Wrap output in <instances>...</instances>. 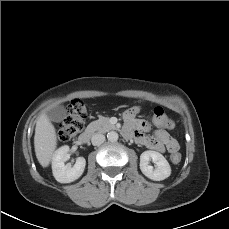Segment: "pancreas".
<instances>
[{
  "label": "pancreas",
  "instance_id": "1",
  "mask_svg": "<svg viewBox=\"0 0 229 229\" xmlns=\"http://www.w3.org/2000/svg\"><path fill=\"white\" fill-rule=\"evenodd\" d=\"M112 129H115V126L109 122L108 117H100L98 120L91 122L87 127V131L99 133H105Z\"/></svg>",
  "mask_w": 229,
  "mask_h": 229
}]
</instances>
